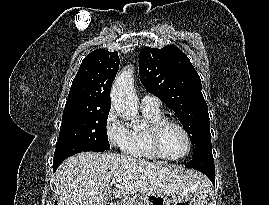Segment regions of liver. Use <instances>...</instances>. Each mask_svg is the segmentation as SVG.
<instances>
[{
    "label": "liver",
    "mask_w": 269,
    "mask_h": 205,
    "mask_svg": "<svg viewBox=\"0 0 269 205\" xmlns=\"http://www.w3.org/2000/svg\"><path fill=\"white\" fill-rule=\"evenodd\" d=\"M114 178H122L113 190ZM58 205H105L109 199L143 192L160 196L206 192L207 180L197 172L172 169L116 153L82 152L56 172Z\"/></svg>",
    "instance_id": "6515ba94"
}]
</instances>
